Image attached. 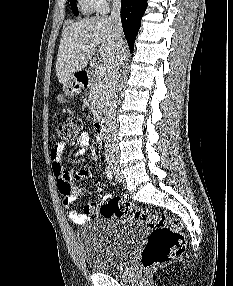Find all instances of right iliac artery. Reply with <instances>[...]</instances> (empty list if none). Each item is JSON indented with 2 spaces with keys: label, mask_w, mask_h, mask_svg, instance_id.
<instances>
[{
  "label": "right iliac artery",
  "mask_w": 233,
  "mask_h": 286,
  "mask_svg": "<svg viewBox=\"0 0 233 286\" xmlns=\"http://www.w3.org/2000/svg\"><path fill=\"white\" fill-rule=\"evenodd\" d=\"M106 175H107L108 179H110V180L113 178V173H112L109 165L106 166Z\"/></svg>",
  "instance_id": "obj_1"
}]
</instances>
